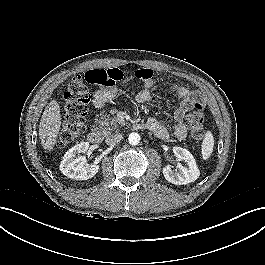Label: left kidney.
Segmentation results:
<instances>
[{
    "label": "left kidney",
    "instance_id": "obj_1",
    "mask_svg": "<svg viewBox=\"0 0 265 265\" xmlns=\"http://www.w3.org/2000/svg\"><path fill=\"white\" fill-rule=\"evenodd\" d=\"M173 153L177 158L185 161L188 167L181 166L174 170L171 165L165 166L163 168L165 179L175 185H184L197 180L200 172L193 155L182 147H173Z\"/></svg>",
    "mask_w": 265,
    "mask_h": 265
}]
</instances>
